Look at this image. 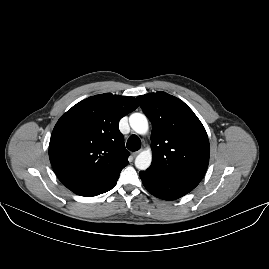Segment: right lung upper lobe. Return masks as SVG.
Wrapping results in <instances>:
<instances>
[{"label":"right lung upper lobe","instance_id":"right-lung-upper-lobe-1","mask_svg":"<svg viewBox=\"0 0 269 269\" xmlns=\"http://www.w3.org/2000/svg\"><path fill=\"white\" fill-rule=\"evenodd\" d=\"M137 107L134 97L105 93L77 103L58 120L49 158L64 186L72 190L107 181L128 164L119 121Z\"/></svg>","mask_w":269,"mask_h":269}]
</instances>
